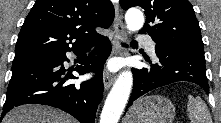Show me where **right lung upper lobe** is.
Here are the masks:
<instances>
[{"mask_svg":"<svg viewBox=\"0 0 221 123\" xmlns=\"http://www.w3.org/2000/svg\"><path fill=\"white\" fill-rule=\"evenodd\" d=\"M113 19L109 0H37L18 35L15 56L82 49L102 37L96 27L108 28Z\"/></svg>","mask_w":221,"mask_h":123,"instance_id":"cb5924a9","label":"right lung upper lobe"}]
</instances>
